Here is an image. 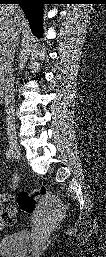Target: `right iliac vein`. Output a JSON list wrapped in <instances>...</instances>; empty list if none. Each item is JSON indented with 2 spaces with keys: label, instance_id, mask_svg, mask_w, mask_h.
I'll return each instance as SVG.
<instances>
[{
  "label": "right iliac vein",
  "instance_id": "63e3f726",
  "mask_svg": "<svg viewBox=\"0 0 106 257\" xmlns=\"http://www.w3.org/2000/svg\"><path fill=\"white\" fill-rule=\"evenodd\" d=\"M9 146H10L13 158L19 161L22 155H21L20 147L14 135L9 136Z\"/></svg>",
  "mask_w": 106,
  "mask_h": 257
}]
</instances>
